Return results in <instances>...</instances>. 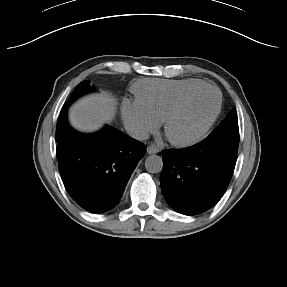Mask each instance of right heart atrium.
I'll list each match as a JSON object with an SVG mask.
<instances>
[{
	"mask_svg": "<svg viewBox=\"0 0 287 287\" xmlns=\"http://www.w3.org/2000/svg\"><path fill=\"white\" fill-rule=\"evenodd\" d=\"M121 114L127 129L138 138L148 136L160 126V121L137 100H125Z\"/></svg>",
	"mask_w": 287,
	"mask_h": 287,
	"instance_id": "1",
	"label": "right heart atrium"
}]
</instances>
